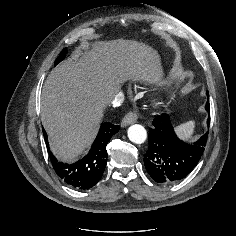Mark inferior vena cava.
Instances as JSON below:
<instances>
[{
	"label": "inferior vena cava",
	"mask_w": 236,
	"mask_h": 236,
	"mask_svg": "<svg viewBox=\"0 0 236 236\" xmlns=\"http://www.w3.org/2000/svg\"><path fill=\"white\" fill-rule=\"evenodd\" d=\"M123 101H124V95L122 92H119L111 101V103L114 107H118L123 103Z\"/></svg>",
	"instance_id": "inferior-vena-cava-1"
}]
</instances>
